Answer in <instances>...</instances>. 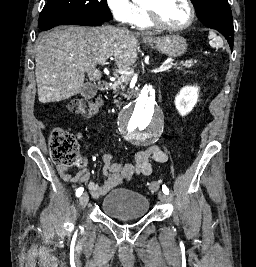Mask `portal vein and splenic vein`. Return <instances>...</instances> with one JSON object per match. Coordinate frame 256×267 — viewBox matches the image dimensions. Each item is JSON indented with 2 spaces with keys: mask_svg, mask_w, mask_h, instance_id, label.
<instances>
[{
  "mask_svg": "<svg viewBox=\"0 0 256 267\" xmlns=\"http://www.w3.org/2000/svg\"><path fill=\"white\" fill-rule=\"evenodd\" d=\"M106 60H101V62H99V64H102V66H104ZM169 68H171V64L170 63H165L163 64V66H161V70L160 68H152L151 73H156V71H160L163 72L164 70H169ZM132 67H129L125 70V68H119V70H116V72H119V74H127V76H133L134 72Z\"/></svg>",
  "mask_w": 256,
  "mask_h": 267,
  "instance_id": "portal-vein-and-splenic-vein-1",
  "label": "portal vein and splenic vein"
}]
</instances>
